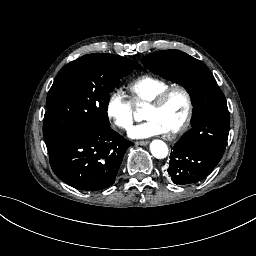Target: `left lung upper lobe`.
I'll return each mask as SVG.
<instances>
[{
	"instance_id": "left-lung-upper-lobe-1",
	"label": "left lung upper lobe",
	"mask_w": 256,
	"mask_h": 256,
	"mask_svg": "<svg viewBox=\"0 0 256 256\" xmlns=\"http://www.w3.org/2000/svg\"><path fill=\"white\" fill-rule=\"evenodd\" d=\"M151 72L182 85L194 106L192 129L174 146L168 172L209 175L227 144L230 116L225 97L210 70L179 50H163L142 59Z\"/></svg>"
}]
</instances>
